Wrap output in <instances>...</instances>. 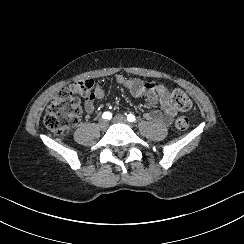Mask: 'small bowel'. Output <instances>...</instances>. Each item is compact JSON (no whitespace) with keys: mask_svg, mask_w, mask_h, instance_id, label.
I'll use <instances>...</instances> for the list:
<instances>
[{"mask_svg":"<svg viewBox=\"0 0 244 244\" xmlns=\"http://www.w3.org/2000/svg\"><path fill=\"white\" fill-rule=\"evenodd\" d=\"M116 81L125 87L131 96L145 97L147 104L152 107L151 110L144 113V118L148 121L159 123L161 125H169L176 110L168 98L166 86L156 82H144L138 79L127 78L121 74L116 76ZM105 96L104 88L101 84H97L84 102V109L87 113H93L96 109V100H101ZM159 106L161 110L154 107Z\"/></svg>","mask_w":244,"mask_h":244,"instance_id":"small-bowel-1","label":"small bowel"}]
</instances>
